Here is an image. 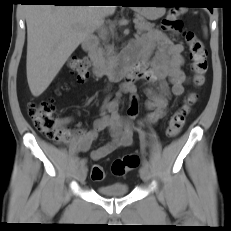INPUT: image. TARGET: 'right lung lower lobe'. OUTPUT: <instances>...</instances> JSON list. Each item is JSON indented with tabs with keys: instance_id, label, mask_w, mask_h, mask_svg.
I'll use <instances>...</instances> for the list:
<instances>
[{
	"instance_id": "right-lung-lower-lobe-1",
	"label": "right lung lower lobe",
	"mask_w": 231,
	"mask_h": 231,
	"mask_svg": "<svg viewBox=\"0 0 231 231\" xmlns=\"http://www.w3.org/2000/svg\"><path fill=\"white\" fill-rule=\"evenodd\" d=\"M28 3H51L54 5H85L83 0H24Z\"/></svg>"
}]
</instances>
